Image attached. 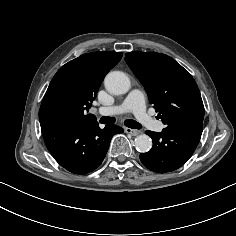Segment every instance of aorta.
I'll use <instances>...</instances> for the list:
<instances>
[{
	"instance_id": "obj_1",
	"label": "aorta",
	"mask_w": 236,
	"mask_h": 236,
	"mask_svg": "<svg viewBox=\"0 0 236 236\" xmlns=\"http://www.w3.org/2000/svg\"><path fill=\"white\" fill-rule=\"evenodd\" d=\"M130 84L129 77L121 71L109 72L104 79L105 88L114 95L127 93ZM134 144L137 151L146 153L152 148V139L148 135L142 134L135 138Z\"/></svg>"
}]
</instances>
